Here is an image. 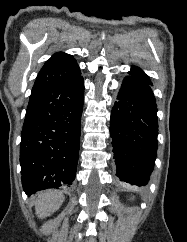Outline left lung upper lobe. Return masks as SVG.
<instances>
[{"label": "left lung upper lobe", "instance_id": "obj_1", "mask_svg": "<svg viewBox=\"0 0 187 242\" xmlns=\"http://www.w3.org/2000/svg\"><path fill=\"white\" fill-rule=\"evenodd\" d=\"M131 76L137 77L139 79L144 80L145 82L152 84L149 77L139 68L136 66H132L131 70L128 72Z\"/></svg>", "mask_w": 187, "mask_h": 242}]
</instances>
